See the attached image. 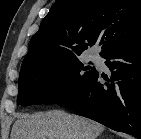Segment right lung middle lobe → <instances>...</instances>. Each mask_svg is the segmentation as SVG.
I'll list each match as a JSON object with an SVG mask.
<instances>
[{"label":"right lung middle lobe","mask_w":141,"mask_h":139,"mask_svg":"<svg viewBox=\"0 0 141 139\" xmlns=\"http://www.w3.org/2000/svg\"><path fill=\"white\" fill-rule=\"evenodd\" d=\"M95 72L94 67H83L78 58L22 69L17 105L59 103L76 92Z\"/></svg>","instance_id":"1"}]
</instances>
